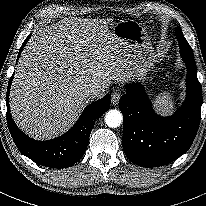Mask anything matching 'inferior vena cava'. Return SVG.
I'll list each match as a JSON object with an SVG mask.
<instances>
[{
	"label": "inferior vena cava",
	"instance_id": "inferior-vena-cava-1",
	"mask_svg": "<svg viewBox=\"0 0 206 206\" xmlns=\"http://www.w3.org/2000/svg\"><path fill=\"white\" fill-rule=\"evenodd\" d=\"M105 95V90L102 88H93L88 91V97L91 101L102 98Z\"/></svg>",
	"mask_w": 206,
	"mask_h": 206
}]
</instances>
